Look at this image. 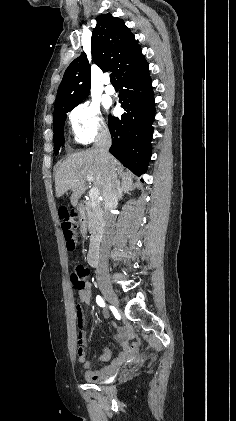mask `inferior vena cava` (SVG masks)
Listing matches in <instances>:
<instances>
[{
	"label": "inferior vena cava",
	"mask_w": 236,
	"mask_h": 421,
	"mask_svg": "<svg viewBox=\"0 0 236 421\" xmlns=\"http://www.w3.org/2000/svg\"><path fill=\"white\" fill-rule=\"evenodd\" d=\"M111 136L107 126H99L96 138L94 140V146L98 150L101 156V162L107 164L110 154L109 148L111 146ZM109 182L105 186V192L103 194L104 204V237L102 241V247L100 251L99 265L97 273H102L108 267V255L105 253L107 249H110L113 243V229L115 223V217L112 211H116L118 204V192H120L119 180H117L116 168L110 166L108 174Z\"/></svg>",
	"instance_id": "602c4592"
}]
</instances>
